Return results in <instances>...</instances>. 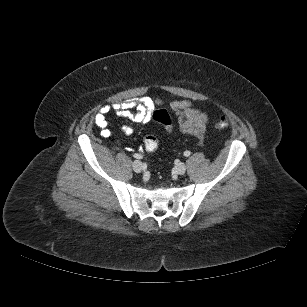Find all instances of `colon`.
<instances>
[{
    "label": "colon",
    "mask_w": 307,
    "mask_h": 307,
    "mask_svg": "<svg viewBox=\"0 0 307 307\" xmlns=\"http://www.w3.org/2000/svg\"><path fill=\"white\" fill-rule=\"evenodd\" d=\"M153 120L162 124L167 130L172 128V117L165 109H159L152 115ZM229 120L226 116H221L215 121V127L217 129H224L228 127ZM144 149L148 152L155 151L159 146V140L156 136L149 134L143 139Z\"/></svg>",
    "instance_id": "obj_1"
}]
</instances>
